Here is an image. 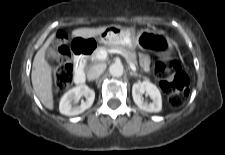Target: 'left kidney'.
<instances>
[{
	"label": "left kidney",
	"mask_w": 225,
	"mask_h": 155,
	"mask_svg": "<svg viewBox=\"0 0 225 155\" xmlns=\"http://www.w3.org/2000/svg\"><path fill=\"white\" fill-rule=\"evenodd\" d=\"M152 99L151 103L144 102L142 94L145 93ZM132 96L135 104L147 112H159L162 109V97L156 85L149 81L134 83L132 87Z\"/></svg>",
	"instance_id": "1"
}]
</instances>
